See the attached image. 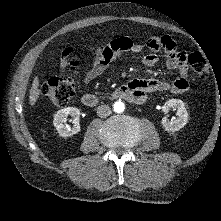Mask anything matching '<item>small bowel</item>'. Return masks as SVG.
<instances>
[{
  "label": "small bowel",
  "instance_id": "1",
  "mask_svg": "<svg viewBox=\"0 0 221 221\" xmlns=\"http://www.w3.org/2000/svg\"><path fill=\"white\" fill-rule=\"evenodd\" d=\"M145 49L149 50L142 59L145 66L154 67L158 63L156 53L163 51L167 68L176 71L179 77L170 82L155 78L130 81L127 86L135 94L137 103L144 102L147 94L155 91L168 90L175 94L186 92L189 88L187 54L179 51L175 41L168 35L152 36L145 44L134 43L129 37H119L106 45L91 47L93 60L85 70L83 82L87 84L102 75L122 52L140 53Z\"/></svg>",
  "mask_w": 221,
  "mask_h": 221
}]
</instances>
